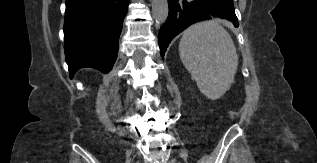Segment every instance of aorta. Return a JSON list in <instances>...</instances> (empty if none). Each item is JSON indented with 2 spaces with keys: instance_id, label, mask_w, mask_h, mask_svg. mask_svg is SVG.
Returning <instances> with one entry per match:
<instances>
[{
  "instance_id": "obj_1",
  "label": "aorta",
  "mask_w": 317,
  "mask_h": 163,
  "mask_svg": "<svg viewBox=\"0 0 317 163\" xmlns=\"http://www.w3.org/2000/svg\"><path fill=\"white\" fill-rule=\"evenodd\" d=\"M168 12V0H152V17L157 23H164Z\"/></svg>"
}]
</instances>
